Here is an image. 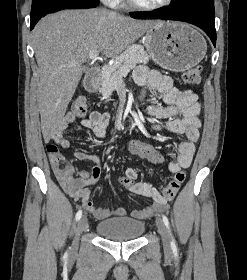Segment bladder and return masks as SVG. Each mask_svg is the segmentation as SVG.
I'll return each instance as SVG.
<instances>
[{"instance_id":"bladder-1","label":"bladder","mask_w":247,"mask_h":280,"mask_svg":"<svg viewBox=\"0 0 247 280\" xmlns=\"http://www.w3.org/2000/svg\"><path fill=\"white\" fill-rule=\"evenodd\" d=\"M97 233L113 241L135 240L145 231V223L129 217H117L102 220L96 225Z\"/></svg>"}]
</instances>
